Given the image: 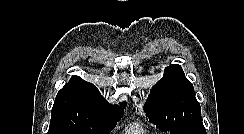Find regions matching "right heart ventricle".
Instances as JSON below:
<instances>
[{"instance_id":"1","label":"right heart ventricle","mask_w":244,"mask_h":134,"mask_svg":"<svg viewBox=\"0 0 244 134\" xmlns=\"http://www.w3.org/2000/svg\"><path fill=\"white\" fill-rule=\"evenodd\" d=\"M123 134H150L146 128L140 124L130 126Z\"/></svg>"}]
</instances>
